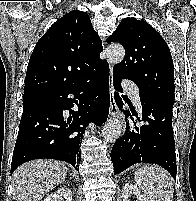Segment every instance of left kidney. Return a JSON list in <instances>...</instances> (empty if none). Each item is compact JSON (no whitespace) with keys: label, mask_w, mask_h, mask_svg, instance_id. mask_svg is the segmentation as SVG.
Instances as JSON below:
<instances>
[{"label":"left kidney","mask_w":196,"mask_h":201,"mask_svg":"<svg viewBox=\"0 0 196 201\" xmlns=\"http://www.w3.org/2000/svg\"><path fill=\"white\" fill-rule=\"evenodd\" d=\"M132 195H135L139 201H149L145 195L140 193L135 185L126 183L122 188L123 201H131L130 198Z\"/></svg>","instance_id":"left-kidney-1"}]
</instances>
